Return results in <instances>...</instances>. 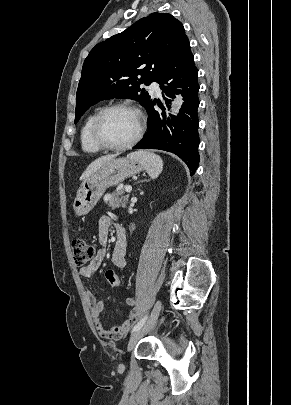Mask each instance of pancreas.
I'll list each match as a JSON object with an SVG mask.
<instances>
[{"instance_id": "1", "label": "pancreas", "mask_w": 291, "mask_h": 405, "mask_svg": "<svg viewBox=\"0 0 291 405\" xmlns=\"http://www.w3.org/2000/svg\"><path fill=\"white\" fill-rule=\"evenodd\" d=\"M129 195H123V189L117 191L116 193L112 194L111 196L105 198V203L108 204L109 207L112 209L118 207H126L128 203Z\"/></svg>"}]
</instances>
